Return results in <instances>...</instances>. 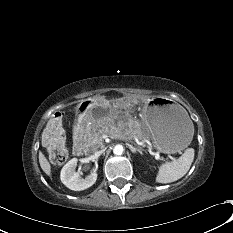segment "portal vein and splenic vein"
Here are the masks:
<instances>
[{"mask_svg":"<svg viewBox=\"0 0 233 233\" xmlns=\"http://www.w3.org/2000/svg\"><path fill=\"white\" fill-rule=\"evenodd\" d=\"M155 155H157V156H158V155H159V153H158V152H156V153H155ZM168 158H169V159H171V160H173V159H174L171 155H168Z\"/></svg>","mask_w":233,"mask_h":233,"instance_id":"1","label":"portal vein and splenic vein"}]
</instances>
